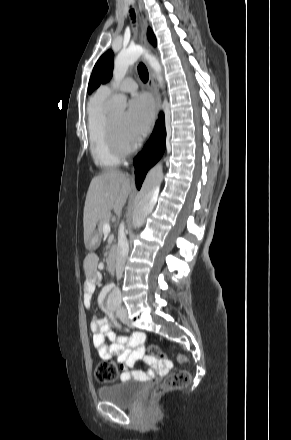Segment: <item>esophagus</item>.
<instances>
[{
	"instance_id": "esophagus-1",
	"label": "esophagus",
	"mask_w": 291,
	"mask_h": 440,
	"mask_svg": "<svg viewBox=\"0 0 291 440\" xmlns=\"http://www.w3.org/2000/svg\"><path fill=\"white\" fill-rule=\"evenodd\" d=\"M138 7H139V11L141 12V19H142V30H143V39L146 42V44L148 45V47L150 48L151 51H153V48L151 47V45L149 44L148 40H147V30L149 27L148 24V20L145 17V15L142 12V6L141 3H138ZM149 71V86H150V90L152 92L154 101H155V113H156V117L158 116L159 110H160V106H161V101H160V97H159V93L156 87V83L154 80V74L153 71L151 69V67L148 69Z\"/></svg>"
}]
</instances>
